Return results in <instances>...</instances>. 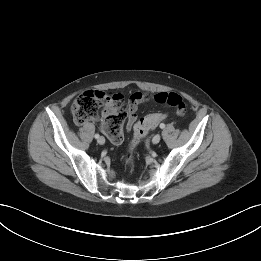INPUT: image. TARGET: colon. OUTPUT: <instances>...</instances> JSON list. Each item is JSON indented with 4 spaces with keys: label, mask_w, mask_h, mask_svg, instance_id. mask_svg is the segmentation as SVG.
Segmentation results:
<instances>
[{
    "label": "colon",
    "mask_w": 261,
    "mask_h": 261,
    "mask_svg": "<svg viewBox=\"0 0 261 261\" xmlns=\"http://www.w3.org/2000/svg\"><path fill=\"white\" fill-rule=\"evenodd\" d=\"M156 101L171 106L178 115H183L186 111L183 98L176 93L157 94ZM106 110H110V113L103 120L102 130L110 139L111 143L121 144L124 141L122 130L123 123L127 117V109L123 103L119 101L117 95L88 90L78 95L71 108L74 120L78 124L96 119L101 111L104 113ZM165 118V114L155 113L145 116L136 122L130 148L124 160L127 167L131 166L134 162V148L150 130L154 129L157 124Z\"/></svg>",
    "instance_id": "obj_1"
}]
</instances>
